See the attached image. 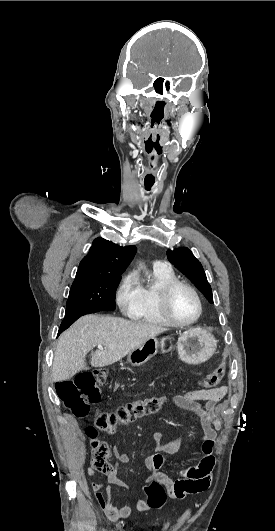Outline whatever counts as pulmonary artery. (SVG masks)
Returning <instances> with one entry per match:
<instances>
[{"label": "pulmonary artery", "instance_id": "1", "mask_svg": "<svg viewBox=\"0 0 275 531\" xmlns=\"http://www.w3.org/2000/svg\"><path fill=\"white\" fill-rule=\"evenodd\" d=\"M153 269L155 272H167L169 269V264L167 261H155L153 264Z\"/></svg>", "mask_w": 275, "mask_h": 531}]
</instances>
